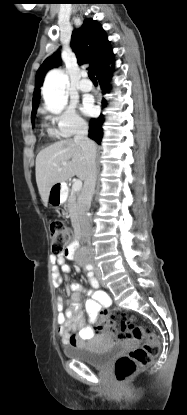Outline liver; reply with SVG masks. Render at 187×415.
<instances>
[{"instance_id": "1", "label": "liver", "mask_w": 187, "mask_h": 415, "mask_svg": "<svg viewBox=\"0 0 187 415\" xmlns=\"http://www.w3.org/2000/svg\"><path fill=\"white\" fill-rule=\"evenodd\" d=\"M66 162V165L63 163ZM86 159L81 146L73 139L55 142L40 151L36 157V182L46 206L53 185L73 176L85 179Z\"/></svg>"}]
</instances>
